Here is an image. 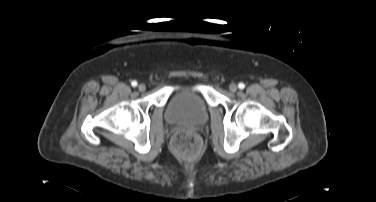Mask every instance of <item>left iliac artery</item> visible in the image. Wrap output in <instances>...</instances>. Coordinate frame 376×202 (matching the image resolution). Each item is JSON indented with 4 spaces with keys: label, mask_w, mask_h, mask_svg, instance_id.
Here are the masks:
<instances>
[{
    "label": "left iliac artery",
    "mask_w": 376,
    "mask_h": 202,
    "mask_svg": "<svg viewBox=\"0 0 376 202\" xmlns=\"http://www.w3.org/2000/svg\"><path fill=\"white\" fill-rule=\"evenodd\" d=\"M238 87H239L240 89H244V88H245V85H244V83L241 82V83L238 84Z\"/></svg>",
    "instance_id": "44dca946"
}]
</instances>
